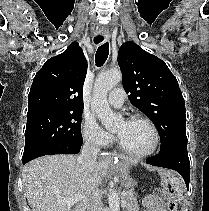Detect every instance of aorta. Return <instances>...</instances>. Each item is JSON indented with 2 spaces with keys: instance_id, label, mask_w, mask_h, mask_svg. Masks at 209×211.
I'll list each match as a JSON object with an SVG mask.
<instances>
[{
  "instance_id": "aorta-1",
  "label": "aorta",
  "mask_w": 209,
  "mask_h": 211,
  "mask_svg": "<svg viewBox=\"0 0 209 211\" xmlns=\"http://www.w3.org/2000/svg\"><path fill=\"white\" fill-rule=\"evenodd\" d=\"M122 80V73L117 70L101 72L95 80L93 88L92 110L107 129H113L121 120L110 108L107 102L108 92ZM109 211H119L120 198L114 189L108 193Z\"/></svg>"
}]
</instances>
